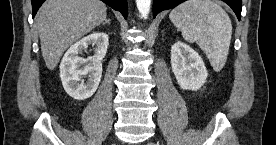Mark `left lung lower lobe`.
Returning <instances> with one entry per match:
<instances>
[{
  "mask_svg": "<svg viewBox=\"0 0 276 145\" xmlns=\"http://www.w3.org/2000/svg\"><path fill=\"white\" fill-rule=\"evenodd\" d=\"M186 0H153V17L166 9L175 7L176 5L184 2ZM227 3L237 15V18H241L242 0H223Z\"/></svg>",
  "mask_w": 276,
  "mask_h": 145,
  "instance_id": "left-lung-lower-lobe-1",
  "label": "left lung lower lobe"
}]
</instances>
